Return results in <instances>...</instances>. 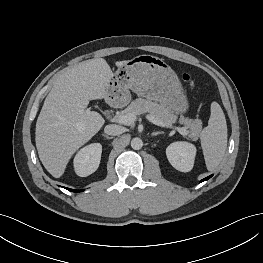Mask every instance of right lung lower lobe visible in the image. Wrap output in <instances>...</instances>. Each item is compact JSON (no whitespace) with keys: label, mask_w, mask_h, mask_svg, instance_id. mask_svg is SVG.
<instances>
[{"label":"right lung lower lobe","mask_w":263,"mask_h":263,"mask_svg":"<svg viewBox=\"0 0 263 263\" xmlns=\"http://www.w3.org/2000/svg\"><path fill=\"white\" fill-rule=\"evenodd\" d=\"M66 189H68L69 191H72V192H81V191H83V190H74V189H69V188H66Z\"/></svg>","instance_id":"98d812e1"}]
</instances>
